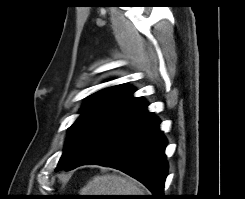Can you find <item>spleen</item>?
I'll return each mask as SVG.
<instances>
[{
    "mask_svg": "<svg viewBox=\"0 0 245 199\" xmlns=\"http://www.w3.org/2000/svg\"><path fill=\"white\" fill-rule=\"evenodd\" d=\"M80 193V195H145L137 182L114 174L95 176L80 190Z\"/></svg>",
    "mask_w": 245,
    "mask_h": 199,
    "instance_id": "1",
    "label": "spleen"
}]
</instances>
